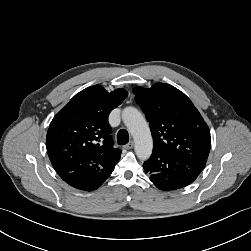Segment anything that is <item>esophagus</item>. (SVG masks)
<instances>
[{
    "mask_svg": "<svg viewBox=\"0 0 251 251\" xmlns=\"http://www.w3.org/2000/svg\"><path fill=\"white\" fill-rule=\"evenodd\" d=\"M134 146V142L133 141H130L128 144L125 145V148L126 149H132Z\"/></svg>",
    "mask_w": 251,
    "mask_h": 251,
    "instance_id": "obj_1",
    "label": "esophagus"
}]
</instances>
